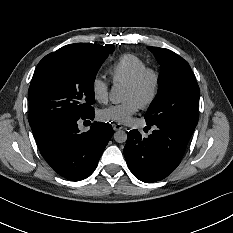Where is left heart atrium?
I'll list each match as a JSON object with an SVG mask.
<instances>
[{"mask_svg": "<svg viewBox=\"0 0 233 233\" xmlns=\"http://www.w3.org/2000/svg\"><path fill=\"white\" fill-rule=\"evenodd\" d=\"M142 104L135 99H128L122 104L102 109L99 117L102 120H111L118 123H126L138 112Z\"/></svg>", "mask_w": 233, "mask_h": 233, "instance_id": "left-heart-atrium-1", "label": "left heart atrium"}]
</instances>
